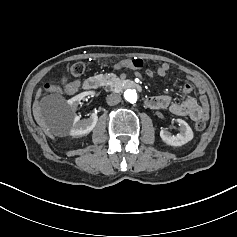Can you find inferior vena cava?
I'll return each instance as SVG.
<instances>
[{
    "label": "inferior vena cava",
    "instance_id": "602c4592",
    "mask_svg": "<svg viewBox=\"0 0 237 237\" xmlns=\"http://www.w3.org/2000/svg\"><path fill=\"white\" fill-rule=\"evenodd\" d=\"M107 103L110 106L116 105L120 103L121 101V96L115 93H112L106 97Z\"/></svg>",
    "mask_w": 237,
    "mask_h": 237
}]
</instances>
